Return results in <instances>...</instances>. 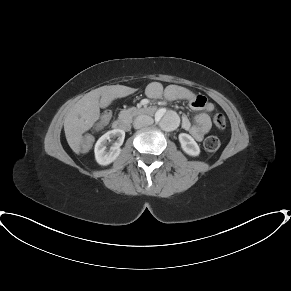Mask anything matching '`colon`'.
Returning a JSON list of instances; mask_svg holds the SVG:
<instances>
[{
	"instance_id": "colon-1",
	"label": "colon",
	"mask_w": 291,
	"mask_h": 291,
	"mask_svg": "<svg viewBox=\"0 0 291 291\" xmlns=\"http://www.w3.org/2000/svg\"><path fill=\"white\" fill-rule=\"evenodd\" d=\"M111 119V112L110 111H104L102 113V124L106 125ZM213 123L216 127L222 129L226 125V119L223 114L217 113L213 117ZM204 147L208 152H215L220 147V140L216 136H209L204 141ZM80 151L83 154H87L89 151L88 142H84L81 147Z\"/></svg>"
}]
</instances>
